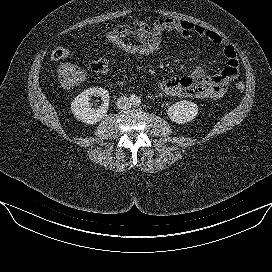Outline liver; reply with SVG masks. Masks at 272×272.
I'll return each mask as SVG.
<instances>
[{
	"label": "liver",
	"mask_w": 272,
	"mask_h": 272,
	"mask_svg": "<svg viewBox=\"0 0 272 272\" xmlns=\"http://www.w3.org/2000/svg\"><path fill=\"white\" fill-rule=\"evenodd\" d=\"M59 77L61 86L64 89H70L71 87L77 86L86 79V72L81 70L78 66L63 63L59 67Z\"/></svg>",
	"instance_id": "1"
}]
</instances>
